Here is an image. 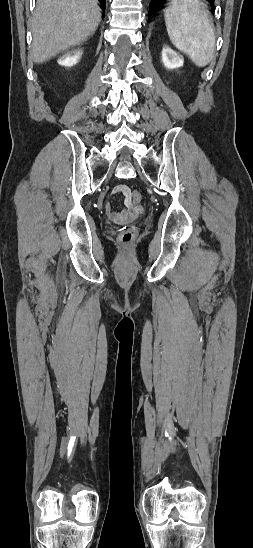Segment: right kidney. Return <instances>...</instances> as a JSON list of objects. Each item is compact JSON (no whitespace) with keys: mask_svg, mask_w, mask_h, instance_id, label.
Returning a JSON list of instances; mask_svg holds the SVG:
<instances>
[{"mask_svg":"<svg viewBox=\"0 0 253 548\" xmlns=\"http://www.w3.org/2000/svg\"><path fill=\"white\" fill-rule=\"evenodd\" d=\"M81 55V50L66 52L58 59V64L66 67H71L79 61Z\"/></svg>","mask_w":253,"mask_h":548,"instance_id":"1","label":"right kidney"}]
</instances>
